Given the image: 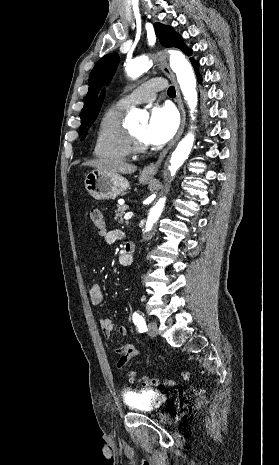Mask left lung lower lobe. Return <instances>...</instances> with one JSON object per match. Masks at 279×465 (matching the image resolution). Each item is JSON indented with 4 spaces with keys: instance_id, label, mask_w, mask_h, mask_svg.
I'll list each match as a JSON object with an SVG mask.
<instances>
[{
    "instance_id": "0a47b994",
    "label": "left lung lower lobe",
    "mask_w": 279,
    "mask_h": 465,
    "mask_svg": "<svg viewBox=\"0 0 279 465\" xmlns=\"http://www.w3.org/2000/svg\"><path fill=\"white\" fill-rule=\"evenodd\" d=\"M191 62H192L193 67L195 68L197 77H198L199 81L201 82L202 78H201V76L198 74L199 63H198V61H195V60H192Z\"/></svg>"
}]
</instances>
